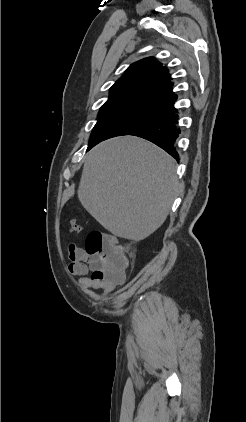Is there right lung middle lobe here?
<instances>
[{"mask_svg": "<svg viewBox=\"0 0 246 422\" xmlns=\"http://www.w3.org/2000/svg\"><path fill=\"white\" fill-rule=\"evenodd\" d=\"M162 115L161 109L143 107H101L92 130L88 150L99 142L129 135Z\"/></svg>", "mask_w": 246, "mask_h": 422, "instance_id": "dd1d6c3e", "label": "right lung middle lobe"}]
</instances>
